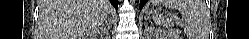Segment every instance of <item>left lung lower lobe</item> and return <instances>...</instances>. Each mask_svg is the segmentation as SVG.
<instances>
[{
    "mask_svg": "<svg viewBox=\"0 0 249 39\" xmlns=\"http://www.w3.org/2000/svg\"><path fill=\"white\" fill-rule=\"evenodd\" d=\"M147 0H140V10L142 9L143 5L146 3Z\"/></svg>",
    "mask_w": 249,
    "mask_h": 39,
    "instance_id": "1",
    "label": "left lung lower lobe"
}]
</instances>
